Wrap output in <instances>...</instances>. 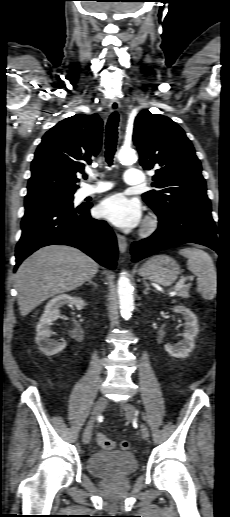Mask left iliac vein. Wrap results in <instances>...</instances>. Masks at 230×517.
<instances>
[{
	"mask_svg": "<svg viewBox=\"0 0 230 517\" xmlns=\"http://www.w3.org/2000/svg\"><path fill=\"white\" fill-rule=\"evenodd\" d=\"M122 408L128 420H133L136 417L137 409L134 405L127 402H123ZM141 436L144 440H147L149 438V429L145 424L141 425Z\"/></svg>",
	"mask_w": 230,
	"mask_h": 517,
	"instance_id": "4c4485c4",
	"label": "left iliac vein"
}]
</instances>
